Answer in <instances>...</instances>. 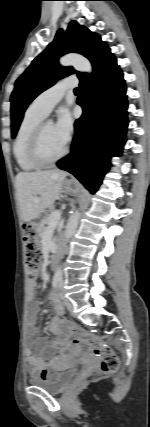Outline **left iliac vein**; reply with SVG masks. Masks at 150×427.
<instances>
[{
  "mask_svg": "<svg viewBox=\"0 0 150 427\" xmlns=\"http://www.w3.org/2000/svg\"><path fill=\"white\" fill-rule=\"evenodd\" d=\"M59 296L64 301L65 307L73 314V312H74V305H73V303L69 299H67L66 297H64V295L61 292L59 293Z\"/></svg>",
  "mask_w": 150,
  "mask_h": 427,
  "instance_id": "1",
  "label": "left iliac vein"
}]
</instances>
